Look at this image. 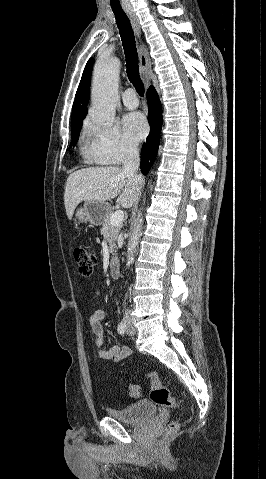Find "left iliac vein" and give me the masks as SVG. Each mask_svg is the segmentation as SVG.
I'll use <instances>...</instances> for the list:
<instances>
[{
  "label": "left iliac vein",
  "mask_w": 266,
  "mask_h": 479,
  "mask_svg": "<svg viewBox=\"0 0 266 479\" xmlns=\"http://www.w3.org/2000/svg\"><path fill=\"white\" fill-rule=\"evenodd\" d=\"M136 333V329L133 326L132 322L128 323V329H127V334L128 335H134Z\"/></svg>",
  "instance_id": "1"
}]
</instances>
